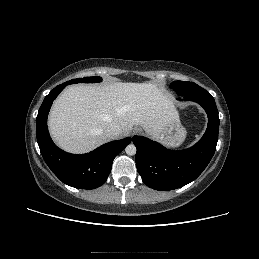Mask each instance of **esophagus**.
<instances>
[{"mask_svg":"<svg viewBox=\"0 0 259 259\" xmlns=\"http://www.w3.org/2000/svg\"><path fill=\"white\" fill-rule=\"evenodd\" d=\"M139 132H140L139 129H134V130H133V134H134V135L138 134Z\"/></svg>","mask_w":259,"mask_h":259,"instance_id":"obj_1","label":"esophagus"}]
</instances>
